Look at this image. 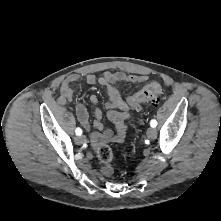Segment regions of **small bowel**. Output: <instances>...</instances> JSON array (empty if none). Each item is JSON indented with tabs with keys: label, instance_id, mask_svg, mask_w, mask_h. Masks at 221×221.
I'll use <instances>...</instances> for the list:
<instances>
[{
	"label": "small bowel",
	"instance_id": "c3829d8e",
	"mask_svg": "<svg viewBox=\"0 0 221 221\" xmlns=\"http://www.w3.org/2000/svg\"><path fill=\"white\" fill-rule=\"evenodd\" d=\"M78 75H70L67 77L60 88V95L58 101L60 104H65L67 101L73 98L75 89L74 84L79 81ZM148 80L147 76L137 74H127L122 71H106L100 77L94 74H87L85 81L89 85L96 83L100 84L107 92L108 100L105 103V107L108 110L107 117L115 125V132L110 129H105L102 124V110L98 107V98L96 95L90 96V101L94 104L95 120L93 127L96 129L91 134L90 141L93 148H98L106 142H121L127 132V121L130 117L129 105L126 102L119 90L116 87L118 82H129V83H143ZM76 114L79 122L85 129L90 128L89 115L86 107L78 103L76 105Z\"/></svg>",
	"mask_w": 221,
	"mask_h": 221
}]
</instances>
